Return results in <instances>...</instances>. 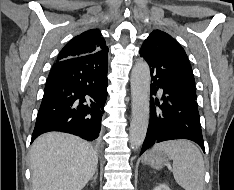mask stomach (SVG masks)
<instances>
[{"mask_svg":"<svg viewBox=\"0 0 234 190\" xmlns=\"http://www.w3.org/2000/svg\"><path fill=\"white\" fill-rule=\"evenodd\" d=\"M142 161L155 169H161L167 163L168 158L163 151L151 150L144 155Z\"/></svg>","mask_w":234,"mask_h":190,"instance_id":"stomach-1","label":"stomach"}]
</instances>
